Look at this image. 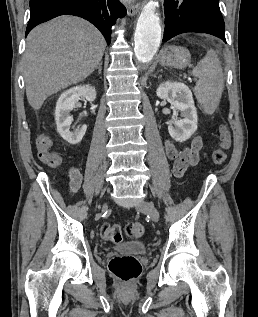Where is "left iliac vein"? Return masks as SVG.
<instances>
[{"instance_id": "4c4485c4", "label": "left iliac vein", "mask_w": 258, "mask_h": 317, "mask_svg": "<svg viewBox=\"0 0 258 317\" xmlns=\"http://www.w3.org/2000/svg\"><path fill=\"white\" fill-rule=\"evenodd\" d=\"M136 210L151 217L153 219V223H158L159 213L152 202L141 200L140 203L136 205Z\"/></svg>"}]
</instances>
